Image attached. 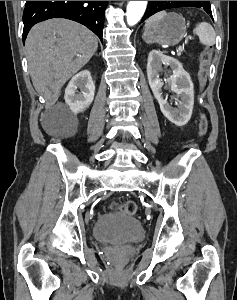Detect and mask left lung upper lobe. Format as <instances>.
<instances>
[{"instance_id":"obj_1","label":"left lung upper lobe","mask_w":237,"mask_h":300,"mask_svg":"<svg viewBox=\"0 0 237 300\" xmlns=\"http://www.w3.org/2000/svg\"><path fill=\"white\" fill-rule=\"evenodd\" d=\"M178 7H196L208 14L211 11L210 1H149L147 10L141 21L143 22L146 18L159 11ZM210 17L213 19L212 16Z\"/></svg>"}]
</instances>
